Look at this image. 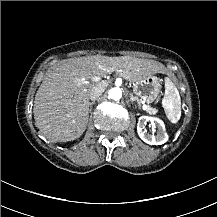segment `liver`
<instances>
[{
    "label": "liver",
    "instance_id": "6515ba94",
    "mask_svg": "<svg viewBox=\"0 0 217 217\" xmlns=\"http://www.w3.org/2000/svg\"><path fill=\"white\" fill-rule=\"evenodd\" d=\"M116 72L120 77L137 82L156 73L164 74L165 66L157 61L130 56H88L61 61L46 72L34 102L35 126L51 142L79 138L86 130L89 110L90 80Z\"/></svg>",
    "mask_w": 217,
    "mask_h": 217
}]
</instances>
